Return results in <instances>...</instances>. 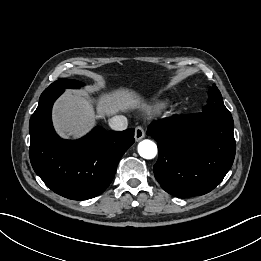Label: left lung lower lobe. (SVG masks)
Segmentation results:
<instances>
[{
	"label": "left lung lower lobe",
	"instance_id": "left-lung-lower-lobe-1",
	"mask_svg": "<svg viewBox=\"0 0 261 261\" xmlns=\"http://www.w3.org/2000/svg\"><path fill=\"white\" fill-rule=\"evenodd\" d=\"M233 128L232 116L202 112L153 122L147 135L158 143L153 171L161 187L179 198L213 190L234 161Z\"/></svg>",
	"mask_w": 261,
	"mask_h": 261
}]
</instances>
